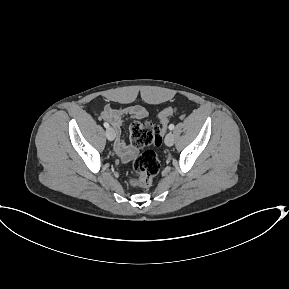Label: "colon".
Segmentation results:
<instances>
[{
    "label": "colon",
    "mask_w": 289,
    "mask_h": 289,
    "mask_svg": "<svg viewBox=\"0 0 289 289\" xmlns=\"http://www.w3.org/2000/svg\"><path fill=\"white\" fill-rule=\"evenodd\" d=\"M176 113L172 107L165 108L159 113L161 125L152 121L134 122L130 127L132 143L139 148L151 145L160 146L163 139V127L169 118ZM160 169V162L156 153L147 150L140 154L133 163L135 176L130 178L129 184L134 188H149Z\"/></svg>",
    "instance_id": "obj_1"
}]
</instances>
